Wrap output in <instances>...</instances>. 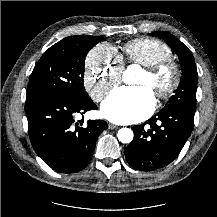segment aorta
Instances as JSON below:
<instances>
[{
	"mask_svg": "<svg viewBox=\"0 0 217 217\" xmlns=\"http://www.w3.org/2000/svg\"><path fill=\"white\" fill-rule=\"evenodd\" d=\"M137 68L136 65L128 66L127 70L123 74V81L126 84L133 83L134 70ZM118 140L122 143H130L133 140V131L130 128H121L117 133Z\"/></svg>",
	"mask_w": 217,
	"mask_h": 217,
	"instance_id": "obj_1",
	"label": "aorta"
}]
</instances>
